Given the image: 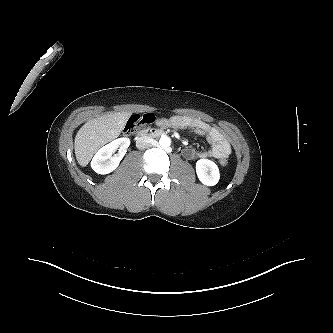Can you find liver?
<instances>
[{
	"instance_id": "liver-1",
	"label": "liver",
	"mask_w": 333,
	"mask_h": 333,
	"mask_svg": "<svg viewBox=\"0 0 333 333\" xmlns=\"http://www.w3.org/2000/svg\"><path fill=\"white\" fill-rule=\"evenodd\" d=\"M130 113H108L86 122L75 137V154L78 163L88 165L97 150L117 138Z\"/></svg>"
}]
</instances>
